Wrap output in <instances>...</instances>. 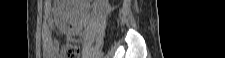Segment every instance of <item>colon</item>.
I'll use <instances>...</instances> for the list:
<instances>
[{"label": "colon", "mask_w": 225, "mask_h": 58, "mask_svg": "<svg viewBox=\"0 0 225 58\" xmlns=\"http://www.w3.org/2000/svg\"><path fill=\"white\" fill-rule=\"evenodd\" d=\"M79 53L78 44L71 42L62 48V58H73Z\"/></svg>", "instance_id": "5ec220e1"}]
</instances>
